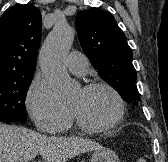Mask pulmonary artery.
Returning a JSON list of instances; mask_svg holds the SVG:
<instances>
[{
	"label": "pulmonary artery",
	"mask_w": 168,
	"mask_h": 162,
	"mask_svg": "<svg viewBox=\"0 0 168 162\" xmlns=\"http://www.w3.org/2000/svg\"><path fill=\"white\" fill-rule=\"evenodd\" d=\"M66 65L71 73L83 76L88 70L89 61L84 54L74 51L67 56Z\"/></svg>",
	"instance_id": "e3ab8cb5"
}]
</instances>
